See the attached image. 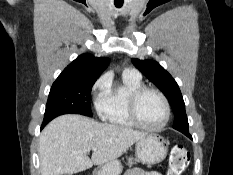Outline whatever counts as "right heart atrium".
I'll list each match as a JSON object with an SVG mask.
<instances>
[{"instance_id":"d8ad5b80","label":"right heart atrium","mask_w":233,"mask_h":175,"mask_svg":"<svg viewBox=\"0 0 233 175\" xmlns=\"http://www.w3.org/2000/svg\"><path fill=\"white\" fill-rule=\"evenodd\" d=\"M108 79L106 77H101L99 78L93 85L92 87V92L93 93H96V92H99L101 93L106 87H107V84H108Z\"/></svg>"}]
</instances>
